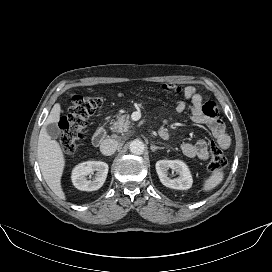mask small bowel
Wrapping results in <instances>:
<instances>
[{
	"instance_id": "1",
	"label": "small bowel",
	"mask_w": 272,
	"mask_h": 272,
	"mask_svg": "<svg viewBox=\"0 0 272 272\" xmlns=\"http://www.w3.org/2000/svg\"><path fill=\"white\" fill-rule=\"evenodd\" d=\"M163 89L173 91L182 96L183 99L178 100L175 110L178 113L188 111L190 119L200 125H205L209 129L214 140L222 149H228L231 143L230 137L225 131L224 123L218 117L217 106L214 102H203V97L197 92L193 86L184 88L172 84H163ZM186 101H189L188 103ZM159 135L166 139L168 137V129L161 127ZM208 142L205 139H199L196 142H185L182 145V152L188 157H198L201 160L209 158Z\"/></svg>"
}]
</instances>
